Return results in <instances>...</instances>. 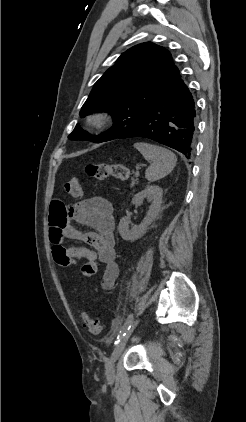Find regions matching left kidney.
<instances>
[{
    "label": "left kidney",
    "instance_id": "1",
    "mask_svg": "<svg viewBox=\"0 0 246 422\" xmlns=\"http://www.w3.org/2000/svg\"><path fill=\"white\" fill-rule=\"evenodd\" d=\"M162 194L163 190L160 186L150 185L147 186L144 190L138 192L133 197L132 204L140 206L143 203V200L147 198L151 202V206L146 214V217L139 226L131 224V220L129 217L121 218L118 230L122 239L126 241H134L140 238L143 234H145L149 225L156 219L160 212L162 204Z\"/></svg>",
    "mask_w": 246,
    "mask_h": 422
}]
</instances>
